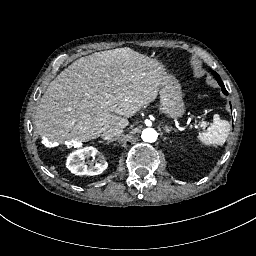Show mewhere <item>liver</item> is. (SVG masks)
Here are the masks:
<instances>
[{"instance_id": "obj_1", "label": "liver", "mask_w": 256, "mask_h": 256, "mask_svg": "<svg viewBox=\"0 0 256 256\" xmlns=\"http://www.w3.org/2000/svg\"><path fill=\"white\" fill-rule=\"evenodd\" d=\"M164 66L131 48L81 57L49 83L36 108L37 133L48 143L88 142L125 128L153 102Z\"/></svg>"}]
</instances>
